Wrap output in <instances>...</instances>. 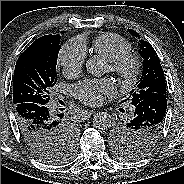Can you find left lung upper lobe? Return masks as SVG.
I'll list each match as a JSON object with an SVG mask.
<instances>
[{
	"label": "left lung upper lobe",
	"mask_w": 184,
	"mask_h": 184,
	"mask_svg": "<svg viewBox=\"0 0 184 184\" xmlns=\"http://www.w3.org/2000/svg\"><path fill=\"white\" fill-rule=\"evenodd\" d=\"M132 36L138 37L139 34L130 29ZM139 54L143 58V73L140 80L135 84L127 100L136 107L142 100L154 95H166V83L159 57L151 44L145 40L139 42ZM126 100H123L125 102ZM110 140L116 155L123 160H136L145 156L155 145L159 137L157 136V127L142 126L133 127L129 121H119L110 131ZM147 141L144 150L135 148V143Z\"/></svg>",
	"instance_id": "obj_1"
}]
</instances>
